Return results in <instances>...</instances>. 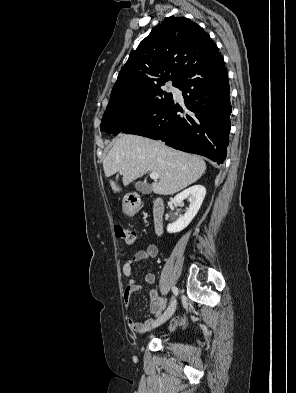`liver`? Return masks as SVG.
<instances>
[{"label":"liver","mask_w":296,"mask_h":393,"mask_svg":"<svg viewBox=\"0 0 296 393\" xmlns=\"http://www.w3.org/2000/svg\"><path fill=\"white\" fill-rule=\"evenodd\" d=\"M106 177L116 172L123 175L124 185L147 172L159 175V181L151 189L158 195H172L196 182L205 172L206 164L201 157L184 153L137 135H121L103 161ZM114 192L121 188L110 181Z\"/></svg>","instance_id":"6515ba94"}]
</instances>
